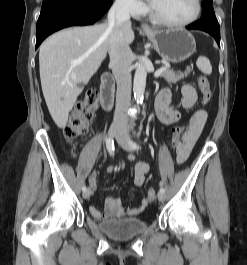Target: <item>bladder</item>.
<instances>
[{
    "label": "bladder",
    "instance_id": "1",
    "mask_svg": "<svg viewBox=\"0 0 247 265\" xmlns=\"http://www.w3.org/2000/svg\"><path fill=\"white\" fill-rule=\"evenodd\" d=\"M98 227L112 239L122 241L143 233L148 224L139 218H124L101 221Z\"/></svg>",
    "mask_w": 247,
    "mask_h": 265
}]
</instances>
